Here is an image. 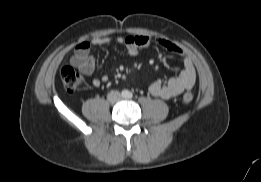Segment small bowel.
Returning a JSON list of instances; mask_svg holds the SVG:
<instances>
[{
    "instance_id": "obj_1",
    "label": "small bowel",
    "mask_w": 261,
    "mask_h": 182,
    "mask_svg": "<svg viewBox=\"0 0 261 182\" xmlns=\"http://www.w3.org/2000/svg\"><path fill=\"white\" fill-rule=\"evenodd\" d=\"M116 42L125 46L130 56H136L140 50L157 44L168 52L182 58L183 69L179 75L157 80L149 86V92L152 96L170 99L185 90L193 88L196 82V70L192 58L176 43L167 39H153L143 35L118 37ZM109 43H111V38L109 37H98L91 41L80 42L70 59L71 65L77 68L83 75H92L95 71V59L90 54L92 46H104ZM108 80V75H103L94 78L92 84L95 87H99Z\"/></svg>"
}]
</instances>
